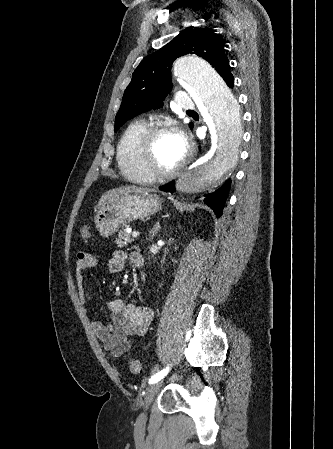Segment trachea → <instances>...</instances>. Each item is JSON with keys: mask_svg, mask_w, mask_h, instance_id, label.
<instances>
[{"mask_svg": "<svg viewBox=\"0 0 333 449\" xmlns=\"http://www.w3.org/2000/svg\"><path fill=\"white\" fill-rule=\"evenodd\" d=\"M187 112H194V111L188 110Z\"/></svg>", "mask_w": 333, "mask_h": 449, "instance_id": "3493384b", "label": "trachea"}]
</instances>
